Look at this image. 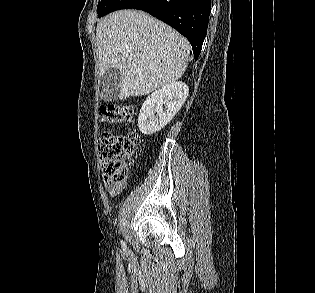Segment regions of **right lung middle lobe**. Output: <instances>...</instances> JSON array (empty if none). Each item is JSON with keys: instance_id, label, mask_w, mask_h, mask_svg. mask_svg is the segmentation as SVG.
<instances>
[{"instance_id": "dd1d6c3e", "label": "right lung middle lobe", "mask_w": 315, "mask_h": 293, "mask_svg": "<svg viewBox=\"0 0 315 293\" xmlns=\"http://www.w3.org/2000/svg\"><path fill=\"white\" fill-rule=\"evenodd\" d=\"M111 1L112 0H99L98 7H97L98 17H101L105 13Z\"/></svg>"}]
</instances>
